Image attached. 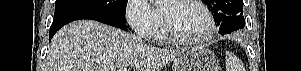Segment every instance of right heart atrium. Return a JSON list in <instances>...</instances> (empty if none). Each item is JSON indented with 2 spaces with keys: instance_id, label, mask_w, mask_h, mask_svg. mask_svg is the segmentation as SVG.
<instances>
[{
  "instance_id": "right-heart-atrium-1",
  "label": "right heart atrium",
  "mask_w": 301,
  "mask_h": 71,
  "mask_svg": "<svg viewBox=\"0 0 301 71\" xmlns=\"http://www.w3.org/2000/svg\"><path fill=\"white\" fill-rule=\"evenodd\" d=\"M126 18L132 30L140 37H153L162 24L161 14L147 0H129Z\"/></svg>"
}]
</instances>
